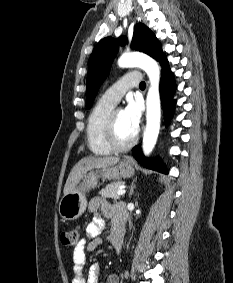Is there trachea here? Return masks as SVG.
Here are the masks:
<instances>
[{
	"label": "trachea",
	"mask_w": 233,
	"mask_h": 283,
	"mask_svg": "<svg viewBox=\"0 0 233 283\" xmlns=\"http://www.w3.org/2000/svg\"><path fill=\"white\" fill-rule=\"evenodd\" d=\"M139 87H140L141 89H144V88L146 87L145 82H141L140 85H139Z\"/></svg>",
	"instance_id": "1"
}]
</instances>
